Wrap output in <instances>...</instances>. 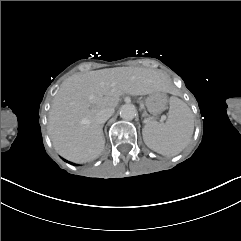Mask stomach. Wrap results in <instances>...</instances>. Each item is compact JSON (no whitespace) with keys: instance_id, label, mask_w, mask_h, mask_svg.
I'll return each instance as SVG.
<instances>
[{"instance_id":"1","label":"stomach","mask_w":241,"mask_h":241,"mask_svg":"<svg viewBox=\"0 0 241 241\" xmlns=\"http://www.w3.org/2000/svg\"><path fill=\"white\" fill-rule=\"evenodd\" d=\"M146 107L152 115L162 113L167 106V98L164 93H151L145 100Z\"/></svg>"}]
</instances>
